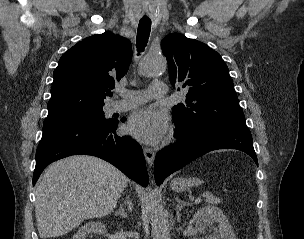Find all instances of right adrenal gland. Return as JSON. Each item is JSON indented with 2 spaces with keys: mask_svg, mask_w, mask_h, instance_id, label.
<instances>
[{
  "mask_svg": "<svg viewBox=\"0 0 304 239\" xmlns=\"http://www.w3.org/2000/svg\"><path fill=\"white\" fill-rule=\"evenodd\" d=\"M124 204L127 205V208L129 211H132V202L128 197L124 200ZM121 216L122 218H127V213L125 212V209L123 208V205H120L119 211L116 212V216Z\"/></svg>",
  "mask_w": 304,
  "mask_h": 239,
  "instance_id": "right-adrenal-gland-1",
  "label": "right adrenal gland"
}]
</instances>
